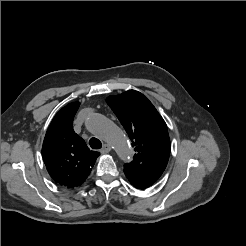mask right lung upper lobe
<instances>
[{
	"mask_svg": "<svg viewBox=\"0 0 246 246\" xmlns=\"http://www.w3.org/2000/svg\"><path fill=\"white\" fill-rule=\"evenodd\" d=\"M79 106V102L70 103L55 115L42 146L49 175L56 183L68 188L85 181L100 155L91 151L73 130V119Z\"/></svg>",
	"mask_w": 246,
	"mask_h": 246,
	"instance_id": "obj_1",
	"label": "right lung upper lobe"
}]
</instances>
